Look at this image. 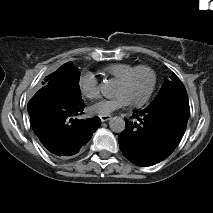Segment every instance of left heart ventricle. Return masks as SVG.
Instances as JSON below:
<instances>
[{
  "mask_svg": "<svg viewBox=\"0 0 213 213\" xmlns=\"http://www.w3.org/2000/svg\"><path fill=\"white\" fill-rule=\"evenodd\" d=\"M147 85V77L143 74L137 76V78L131 83L130 86L124 88L123 86H119L117 89V93H121L123 95H137L142 92Z\"/></svg>",
  "mask_w": 213,
  "mask_h": 213,
  "instance_id": "obj_1",
  "label": "left heart ventricle"
}]
</instances>
